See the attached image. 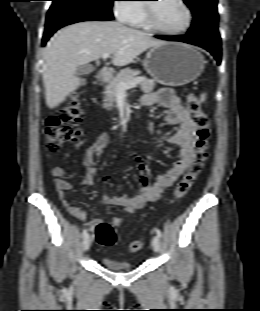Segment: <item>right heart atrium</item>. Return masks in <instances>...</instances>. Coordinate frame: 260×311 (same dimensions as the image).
Masks as SVG:
<instances>
[{
	"mask_svg": "<svg viewBox=\"0 0 260 311\" xmlns=\"http://www.w3.org/2000/svg\"><path fill=\"white\" fill-rule=\"evenodd\" d=\"M113 12L121 22L129 23L136 12V6L126 3L125 0H116L113 6Z\"/></svg>",
	"mask_w": 260,
	"mask_h": 311,
	"instance_id": "right-heart-atrium-1",
	"label": "right heart atrium"
}]
</instances>
